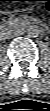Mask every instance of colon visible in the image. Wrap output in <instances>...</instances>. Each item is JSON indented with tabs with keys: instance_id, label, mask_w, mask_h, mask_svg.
Masks as SVG:
<instances>
[{
	"instance_id": "5ec220e1",
	"label": "colon",
	"mask_w": 50,
	"mask_h": 111,
	"mask_svg": "<svg viewBox=\"0 0 50 111\" xmlns=\"http://www.w3.org/2000/svg\"><path fill=\"white\" fill-rule=\"evenodd\" d=\"M41 1H42V0H41ZM49 7H50V5H49L48 3H46V4H45V8L48 9Z\"/></svg>"
}]
</instances>
